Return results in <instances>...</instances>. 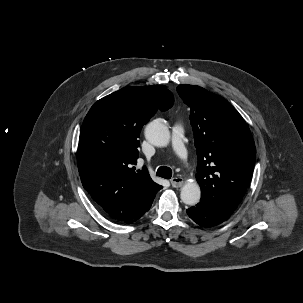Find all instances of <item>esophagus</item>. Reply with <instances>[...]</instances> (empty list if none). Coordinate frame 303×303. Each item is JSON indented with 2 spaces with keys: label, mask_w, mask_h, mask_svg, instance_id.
Wrapping results in <instances>:
<instances>
[{
  "label": "esophagus",
  "mask_w": 303,
  "mask_h": 303,
  "mask_svg": "<svg viewBox=\"0 0 303 303\" xmlns=\"http://www.w3.org/2000/svg\"><path fill=\"white\" fill-rule=\"evenodd\" d=\"M171 185L174 187V188H179L181 186H183V178L182 177H174L171 179Z\"/></svg>",
  "instance_id": "1"
}]
</instances>
